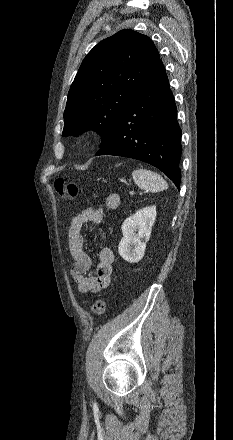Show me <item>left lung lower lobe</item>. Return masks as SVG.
<instances>
[{
  "instance_id": "0a47b994",
  "label": "left lung lower lobe",
  "mask_w": 233,
  "mask_h": 440,
  "mask_svg": "<svg viewBox=\"0 0 233 440\" xmlns=\"http://www.w3.org/2000/svg\"><path fill=\"white\" fill-rule=\"evenodd\" d=\"M177 108L161 60L123 111L115 132L96 153L147 162L180 186L182 153Z\"/></svg>"
}]
</instances>
